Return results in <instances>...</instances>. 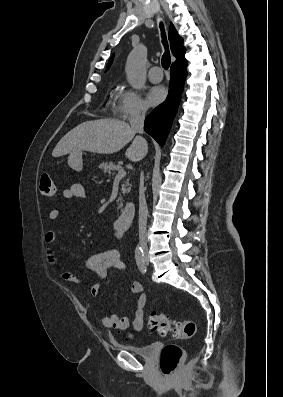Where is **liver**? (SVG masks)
Here are the masks:
<instances>
[{
  "instance_id": "liver-1",
  "label": "liver",
  "mask_w": 283,
  "mask_h": 397,
  "mask_svg": "<svg viewBox=\"0 0 283 397\" xmlns=\"http://www.w3.org/2000/svg\"><path fill=\"white\" fill-rule=\"evenodd\" d=\"M135 134L136 131L125 121L110 118L86 121L72 129L58 142L52 156L60 157L83 150L112 154L133 140L125 156L132 162H137L146 156L148 145L142 137H135Z\"/></svg>"
}]
</instances>
